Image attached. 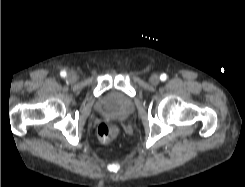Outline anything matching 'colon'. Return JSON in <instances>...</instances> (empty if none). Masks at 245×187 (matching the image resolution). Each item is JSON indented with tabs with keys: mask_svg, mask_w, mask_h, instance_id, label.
Listing matches in <instances>:
<instances>
[{
	"mask_svg": "<svg viewBox=\"0 0 245 187\" xmlns=\"http://www.w3.org/2000/svg\"><path fill=\"white\" fill-rule=\"evenodd\" d=\"M120 125L115 121H104L98 127V136L102 142L115 140L120 134Z\"/></svg>",
	"mask_w": 245,
	"mask_h": 187,
	"instance_id": "obj_1",
	"label": "colon"
}]
</instances>
